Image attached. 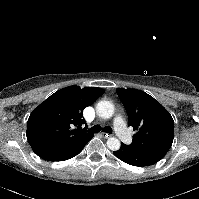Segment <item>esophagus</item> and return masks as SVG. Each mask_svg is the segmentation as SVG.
<instances>
[{
  "mask_svg": "<svg viewBox=\"0 0 199 199\" xmlns=\"http://www.w3.org/2000/svg\"><path fill=\"white\" fill-rule=\"evenodd\" d=\"M101 135H102L103 137H105V138H108V137L111 136V134H108V133H105V132L101 133Z\"/></svg>",
  "mask_w": 199,
  "mask_h": 199,
  "instance_id": "esophagus-1",
  "label": "esophagus"
}]
</instances>
